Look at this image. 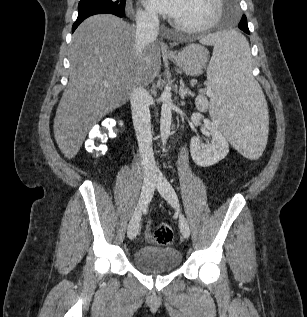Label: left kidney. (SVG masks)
<instances>
[{
  "mask_svg": "<svg viewBox=\"0 0 307 317\" xmlns=\"http://www.w3.org/2000/svg\"><path fill=\"white\" fill-rule=\"evenodd\" d=\"M201 120H203L205 128L212 136V143L204 144L198 136H194L190 142V152L193 161L197 165L207 167L222 160L229 152V145L214 123L204 118L199 112L192 114L191 121L195 126H199Z\"/></svg>",
  "mask_w": 307,
  "mask_h": 317,
  "instance_id": "left-kidney-1",
  "label": "left kidney"
}]
</instances>
